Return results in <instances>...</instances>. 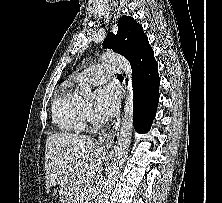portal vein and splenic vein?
I'll return each mask as SVG.
<instances>
[{"label":"portal vein and splenic vein","mask_w":222,"mask_h":203,"mask_svg":"<svg viewBox=\"0 0 222 203\" xmlns=\"http://www.w3.org/2000/svg\"><path fill=\"white\" fill-rule=\"evenodd\" d=\"M83 187L85 189V192L91 191V189H92L91 181H86Z\"/></svg>","instance_id":"portal-vein-and-splenic-vein-1"}]
</instances>
